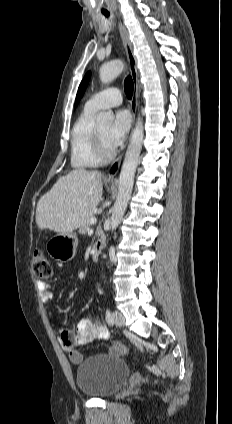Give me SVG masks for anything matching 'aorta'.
<instances>
[{
	"label": "aorta",
	"instance_id": "aorta-1",
	"mask_svg": "<svg viewBox=\"0 0 232 424\" xmlns=\"http://www.w3.org/2000/svg\"><path fill=\"white\" fill-rule=\"evenodd\" d=\"M124 64L120 60H114L101 66L99 77L102 83L106 84L113 81L122 73ZM96 120L99 124H111L114 120V114L111 111L101 112ZM144 137V128L141 117H138L119 176V186L117 199L113 207L110 226L115 230L121 222L126 211L128 201L133 188L134 176L139 161Z\"/></svg>",
	"mask_w": 232,
	"mask_h": 424
}]
</instances>
